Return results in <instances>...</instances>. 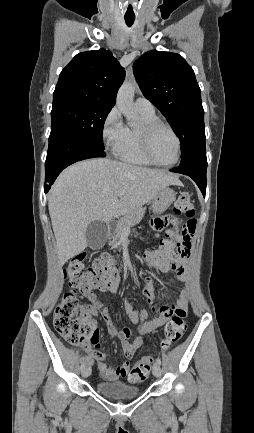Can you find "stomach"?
<instances>
[{
    "instance_id": "stomach-1",
    "label": "stomach",
    "mask_w": 254,
    "mask_h": 433,
    "mask_svg": "<svg viewBox=\"0 0 254 433\" xmlns=\"http://www.w3.org/2000/svg\"><path fill=\"white\" fill-rule=\"evenodd\" d=\"M176 199V193L169 187L162 188L152 199V210L155 214H162Z\"/></svg>"
}]
</instances>
